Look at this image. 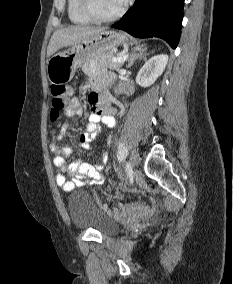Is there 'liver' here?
I'll use <instances>...</instances> for the list:
<instances>
[{"mask_svg":"<svg viewBox=\"0 0 233 284\" xmlns=\"http://www.w3.org/2000/svg\"><path fill=\"white\" fill-rule=\"evenodd\" d=\"M104 30L105 28L85 26L58 29L53 33L48 44L47 57L52 56L63 47H73L82 41L90 40Z\"/></svg>","mask_w":233,"mask_h":284,"instance_id":"1","label":"liver"}]
</instances>
